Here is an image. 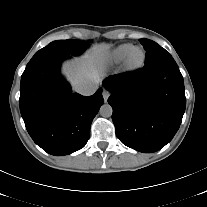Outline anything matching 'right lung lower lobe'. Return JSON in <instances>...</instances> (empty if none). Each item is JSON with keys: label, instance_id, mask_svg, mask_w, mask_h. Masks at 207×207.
Here are the masks:
<instances>
[{"label": "right lung lower lobe", "instance_id": "right-lung-lower-lobe-1", "mask_svg": "<svg viewBox=\"0 0 207 207\" xmlns=\"http://www.w3.org/2000/svg\"><path fill=\"white\" fill-rule=\"evenodd\" d=\"M66 55L27 64L20 85V112L26 129L44 151L63 156L83 148L90 126L103 104L102 88L92 96L72 93L59 73Z\"/></svg>", "mask_w": 207, "mask_h": 207}]
</instances>
